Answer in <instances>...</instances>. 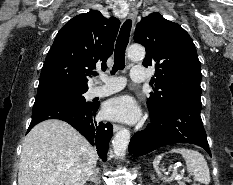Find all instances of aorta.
<instances>
[{
	"label": "aorta",
	"mask_w": 233,
	"mask_h": 185,
	"mask_svg": "<svg viewBox=\"0 0 233 185\" xmlns=\"http://www.w3.org/2000/svg\"><path fill=\"white\" fill-rule=\"evenodd\" d=\"M128 58L132 61H140L145 57V49L140 45H131L127 50ZM130 142V131L126 128L118 131L112 141L113 151L117 157L125 155Z\"/></svg>",
	"instance_id": "aorta-1"
}]
</instances>
